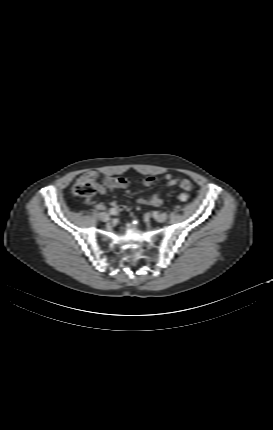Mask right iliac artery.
Returning <instances> with one entry per match:
<instances>
[{
  "label": "right iliac artery",
  "instance_id": "1",
  "mask_svg": "<svg viewBox=\"0 0 273 430\" xmlns=\"http://www.w3.org/2000/svg\"><path fill=\"white\" fill-rule=\"evenodd\" d=\"M110 214L115 215L117 213V210L115 208L109 209Z\"/></svg>",
  "mask_w": 273,
  "mask_h": 430
}]
</instances>
